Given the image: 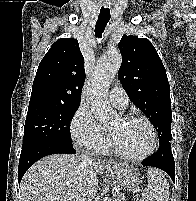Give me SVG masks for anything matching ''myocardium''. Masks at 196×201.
<instances>
[{"instance_id":"myocardium-1","label":"myocardium","mask_w":196,"mask_h":201,"mask_svg":"<svg viewBox=\"0 0 196 201\" xmlns=\"http://www.w3.org/2000/svg\"><path fill=\"white\" fill-rule=\"evenodd\" d=\"M121 119L123 121H141L145 123L149 127L151 132V145L146 152L140 155H131L122 150L115 137L110 133V139L115 153L122 159L132 162H139L149 158L155 152L158 144V134L154 124L143 115H128L122 117Z\"/></svg>"}]
</instances>
